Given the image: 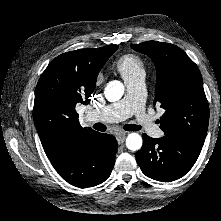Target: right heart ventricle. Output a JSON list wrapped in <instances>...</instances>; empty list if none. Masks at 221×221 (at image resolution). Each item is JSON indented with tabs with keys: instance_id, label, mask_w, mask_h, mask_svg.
I'll use <instances>...</instances> for the list:
<instances>
[{
	"instance_id": "1",
	"label": "right heart ventricle",
	"mask_w": 221,
	"mask_h": 221,
	"mask_svg": "<svg viewBox=\"0 0 221 221\" xmlns=\"http://www.w3.org/2000/svg\"><path fill=\"white\" fill-rule=\"evenodd\" d=\"M116 69L125 82L131 81L141 75H145L146 72L143 59L134 53L121 55L116 61Z\"/></svg>"
}]
</instances>
